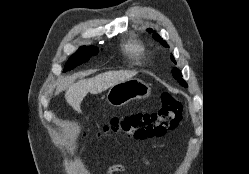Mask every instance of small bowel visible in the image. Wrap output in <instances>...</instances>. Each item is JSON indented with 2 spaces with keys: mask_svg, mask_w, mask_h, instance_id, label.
Returning <instances> with one entry per match:
<instances>
[{
  "mask_svg": "<svg viewBox=\"0 0 249 174\" xmlns=\"http://www.w3.org/2000/svg\"><path fill=\"white\" fill-rule=\"evenodd\" d=\"M146 163H148V160L144 159ZM126 170V167L124 165H121V164H115V165H112L110 166L105 174H115V173H118V172H124Z\"/></svg>",
  "mask_w": 249,
  "mask_h": 174,
  "instance_id": "obj_1",
  "label": "small bowel"
}]
</instances>
